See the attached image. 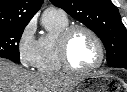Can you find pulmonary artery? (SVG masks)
Listing matches in <instances>:
<instances>
[{
  "mask_svg": "<svg viewBox=\"0 0 127 92\" xmlns=\"http://www.w3.org/2000/svg\"><path fill=\"white\" fill-rule=\"evenodd\" d=\"M47 11H53V9H48Z\"/></svg>",
  "mask_w": 127,
  "mask_h": 92,
  "instance_id": "obj_1",
  "label": "pulmonary artery"
}]
</instances>
